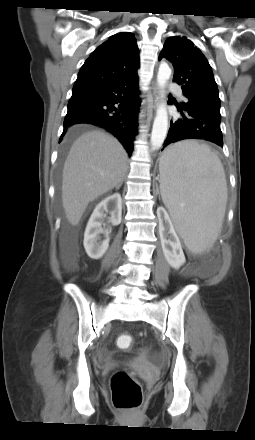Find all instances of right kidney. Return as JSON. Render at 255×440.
Returning <instances> with one entry per match:
<instances>
[{
    "instance_id": "ca27d5eb",
    "label": "right kidney",
    "mask_w": 255,
    "mask_h": 440,
    "mask_svg": "<svg viewBox=\"0 0 255 440\" xmlns=\"http://www.w3.org/2000/svg\"><path fill=\"white\" fill-rule=\"evenodd\" d=\"M110 209L109 222L117 226L122 219V199L119 193H115L102 200L94 209L85 229L84 248L87 255L92 259H100L109 247L110 230L102 229V222L105 218L104 212ZM100 234L105 235L101 240Z\"/></svg>"
}]
</instances>
